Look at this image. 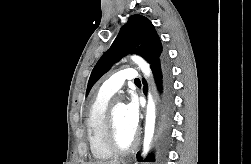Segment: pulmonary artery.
<instances>
[{
    "mask_svg": "<svg viewBox=\"0 0 251 164\" xmlns=\"http://www.w3.org/2000/svg\"><path fill=\"white\" fill-rule=\"evenodd\" d=\"M138 78V72L132 68L123 69L115 74H113L109 79H107L100 87V93L112 96L118 92V90L127 81H135Z\"/></svg>",
    "mask_w": 251,
    "mask_h": 164,
    "instance_id": "1",
    "label": "pulmonary artery"
}]
</instances>
